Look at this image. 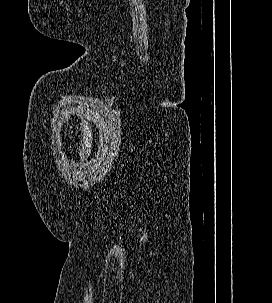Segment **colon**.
Segmentation results:
<instances>
[{
  "label": "colon",
  "instance_id": "obj_1",
  "mask_svg": "<svg viewBox=\"0 0 272 303\" xmlns=\"http://www.w3.org/2000/svg\"><path fill=\"white\" fill-rule=\"evenodd\" d=\"M82 151L80 154V161H83L87 158L90 147H91V126L87 120H84L82 123Z\"/></svg>",
  "mask_w": 272,
  "mask_h": 303
}]
</instances>
